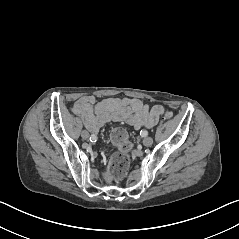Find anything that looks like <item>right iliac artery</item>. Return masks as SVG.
<instances>
[{
  "label": "right iliac artery",
  "instance_id": "obj_1",
  "mask_svg": "<svg viewBox=\"0 0 239 239\" xmlns=\"http://www.w3.org/2000/svg\"><path fill=\"white\" fill-rule=\"evenodd\" d=\"M91 139H92V141H94V140L96 141L97 138H96V136L93 134V135L91 136Z\"/></svg>",
  "mask_w": 239,
  "mask_h": 239
}]
</instances>
